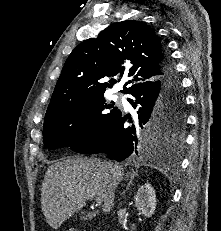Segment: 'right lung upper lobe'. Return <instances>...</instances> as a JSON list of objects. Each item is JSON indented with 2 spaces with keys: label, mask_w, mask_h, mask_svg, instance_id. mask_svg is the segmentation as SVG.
<instances>
[{
  "label": "right lung upper lobe",
  "mask_w": 221,
  "mask_h": 231,
  "mask_svg": "<svg viewBox=\"0 0 221 231\" xmlns=\"http://www.w3.org/2000/svg\"><path fill=\"white\" fill-rule=\"evenodd\" d=\"M163 55L158 36L145 23L126 20L110 25L97 38L83 41L72 51L45 118L71 100L103 96L116 83L113 78L106 82L107 77L127 75L130 80L121 90L125 94L159 81Z\"/></svg>",
  "instance_id": "cb5924a9"
}]
</instances>
